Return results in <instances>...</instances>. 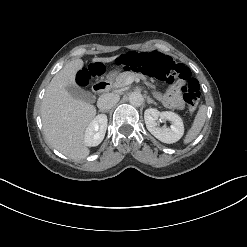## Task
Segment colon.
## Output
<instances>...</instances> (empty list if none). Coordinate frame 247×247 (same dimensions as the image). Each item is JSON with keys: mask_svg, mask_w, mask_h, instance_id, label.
I'll list each match as a JSON object with an SVG mask.
<instances>
[{"mask_svg": "<svg viewBox=\"0 0 247 247\" xmlns=\"http://www.w3.org/2000/svg\"><path fill=\"white\" fill-rule=\"evenodd\" d=\"M115 64L124 70L141 72L170 84H179L183 100L190 113L193 114L196 111L200 101L199 82L192 77L187 66L175 61L172 57L157 51L128 52L121 55ZM104 72V65L91 64L79 74L78 79L81 83H87L90 78L102 75Z\"/></svg>", "mask_w": 247, "mask_h": 247, "instance_id": "5ec220e1", "label": "colon"}]
</instances>
